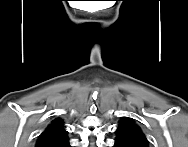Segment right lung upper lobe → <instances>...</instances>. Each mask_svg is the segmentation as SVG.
I'll return each instance as SVG.
<instances>
[{
	"mask_svg": "<svg viewBox=\"0 0 188 147\" xmlns=\"http://www.w3.org/2000/svg\"><path fill=\"white\" fill-rule=\"evenodd\" d=\"M67 131L63 121L55 119L39 136L36 147H69Z\"/></svg>",
	"mask_w": 188,
	"mask_h": 147,
	"instance_id": "right-lung-upper-lobe-1",
	"label": "right lung upper lobe"
}]
</instances>
